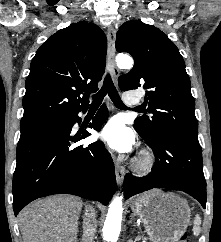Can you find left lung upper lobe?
Wrapping results in <instances>:
<instances>
[{
    "mask_svg": "<svg viewBox=\"0 0 221 242\" xmlns=\"http://www.w3.org/2000/svg\"><path fill=\"white\" fill-rule=\"evenodd\" d=\"M116 49L130 53L135 62L132 70L119 78L120 88L147 89L144 105L153 116L135 120L139 135L153 138L162 130L197 134L190 79L178 48L166 34L152 25L127 21L117 32Z\"/></svg>",
    "mask_w": 221,
    "mask_h": 242,
    "instance_id": "1",
    "label": "left lung upper lobe"
}]
</instances>
